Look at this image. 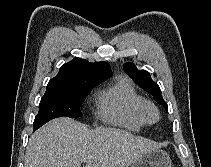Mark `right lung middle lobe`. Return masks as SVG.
Here are the masks:
<instances>
[{"instance_id":"1","label":"right lung middle lobe","mask_w":211,"mask_h":167,"mask_svg":"<svg viewBox=\"0 0 211 167\" xmlns=\"http://www.w3.org/2000/svg\"><path fill=\"white\" fill-rule=\"evenodd\" d=\"M102 81L90 80L66 87L47 88L34 120V130L57 117L82 116L80 106L89 92Z\"/></svg>"}]
</instances>
